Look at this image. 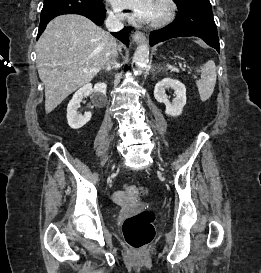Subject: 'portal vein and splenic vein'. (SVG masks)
<instances>
[{
    "label": "portal vein and splenic vein",
    "instance_id": "obj_1",
    "mask_svg": "<svg viewBox=\"0 0 261 273\" xmlns=\"http://www.w3.org/2000/svg\"><path fill=\"white\" fill-rule=\"evenodd\" d=\"M183 67L185 68L186 66L184 65ZM184 68H183V69H184ZM195 78L197 79L198 77H197V76H195Z\"/></svg>",
    "mask_w": 261,
    "mask_h": 273
}]
</instances>
